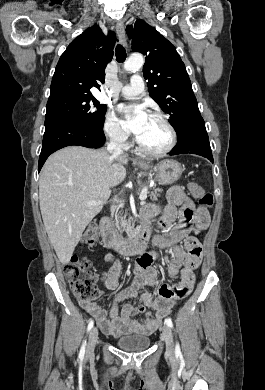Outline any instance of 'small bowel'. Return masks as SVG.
I'll use <instances>...</instances> for the list:
<instances>
[{"label": "small bowel", "instance_id": "small-bowel-1", "mask_svg": "<svg viewBox=\"0 0 265 390\" xmlns=\"http://www.w3.org/2000/svg\"><path fill=\"white\" fill-rule=\"evenodd\" d=\"M167 201L163 207L147 205L141 215L146 220L159 218L158 226L162 233L155 236L153 242L159 249L171 250L172 260L165 258L164 261L168 273L172 276L179 275L180 282L169 285L158 279V272L153 266V262L160 258L158 252L140 255L136 260L133 283L111 297L110 319L107 318V311L96 302L81 303L83 309L95 318L107 335L117 337L131 333H151L162 324L176 302L189 295L193 289L194 270L201 263L202 247L192 233L207 228L209 213L206 208L196 207L179 187L169 189ZM178 216L180 221L175 223ZM180 243H183V247ZM103 260L107 265V270L101 274L103 285L106 289L115 291L119 286L121 263L110 253ZM149 287L153 288V292L147 291ZM139 290L143 291L140 296L141 304L136 302ZM127 299L132 301L119 314L118 304ZM139 313H144L142 319H133Z\"/></svg>", "mask_w": 265, "mask_h": 390}]
</instances>
